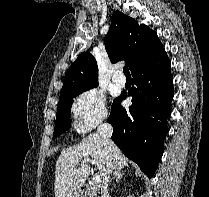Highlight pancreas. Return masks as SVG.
<instances>
[{"label":"pancreas","mask_w":209,"mask_h":197,"mask_svg":"<svg viewBox=\"0 0 209 197\" xmlns=\"http://www.w3.org/2000/svg\"><path fill=\"white\" fill-rule=\"evenodd\" d=\"M91 189L93 190V192H97V187H91Z\"/></svg>","instance_id":"1"}]
</instances>
